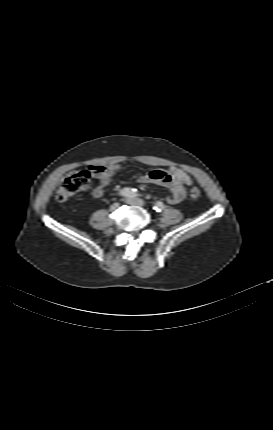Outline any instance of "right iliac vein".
<instances>
[{"label": "right iliac vein", "mask_w": 273, "mask_h": 430, "mask_svg": "<svg viewBox=\"0 0 273 430\" xmlns=\"http://www.w3.org/2000/svg\"><path fill=\"white\" fill-rule=\"evenodd\" d=\"M119 207V203H114L110 206V211H115L116 209H118Z\"/></svg>", "instance_id": "63e3f726"}]
</instances>
